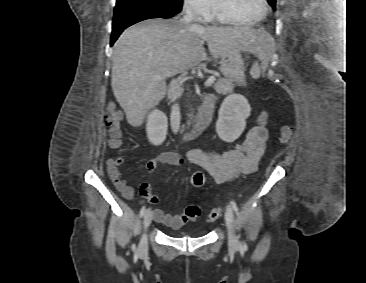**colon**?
<instances>
[{
  "instance_id": "1",
  "label": "colon",
  "mask_w": 366,
  "mask_h": 283,
  "mask_svg": "<svg viewBox=\"0 0 366 283\" xmlns=\"http://www.w3.org/2000/svg\"><path fill=\"white\" fill-rule=\"evenodd\" d=\"M121 113L115 107H110L106 113L105 122L109 131V145L112 148H118L122 145V131L120 128ZM292 136V129L284 127L280 135V141L287 143ZM190 183L193 187H202L205 183V177L201 172H194L190 176ZM221 209L214 208L207 215L208 222H214L219 218ZM201 216V210L196 205L189 206L184 214L185 220L195 221Z\"/></svg>"
}]
</instances>
